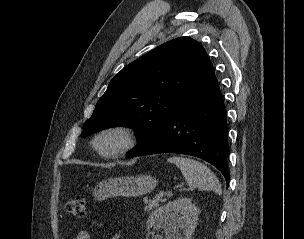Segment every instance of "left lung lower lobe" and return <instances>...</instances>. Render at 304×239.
Returning <instances> with one entry per match:
<instances>
[{
    "label": "left lung lower lobe",
    "mask_w": 304,
    "mask_h": 239,
    "mask_svg": "<svg viewBox=\"0 0 304 239\" xmlns=\"http://www.w3.org/2000/svg\"><path fill=\"white\" fill-rule=\"evenodd\" d=\"M228 126L222 94L215 75L171 118L147 145L133 156L180 153L204 159L221 171L229 183Z\"/></svg>",
    "instance_id": "1"
}]
</instances>
